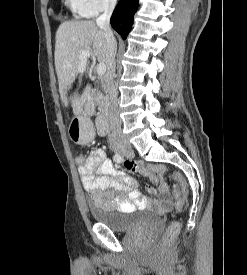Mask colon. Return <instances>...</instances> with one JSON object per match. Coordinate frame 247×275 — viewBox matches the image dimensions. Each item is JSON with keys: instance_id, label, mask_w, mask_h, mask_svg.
<instances>
[{"instance_id": "colon-1", "label": "colon", "mask_w": 247, "mask_h": 275, "mask_svg": "<svg viewBox=\"0 0 247 275\" xmlns=\"http://www.w3.org/2000/svg\"><path fill=\"white\" fill-rule=\"evenodd\" d=\"M77 160L78 162H82V157L79 156ZM136 165L137 163L130 161L125 163L126 168L129 170L135 169ZM171 177L179 184L178 186L173 187L172 192L176 199V207L178 210H181L186 204V199L188 195L187 182L184 177L178 172L172 173ZM180 229L181 224L179 221H171L169 223L161 238V245L164 249H167L172 244V242L180 232Z\"/></svg>"}]
</instances>
